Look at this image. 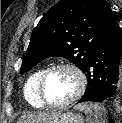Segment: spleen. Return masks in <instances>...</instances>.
I'll return each instance as SVG.
<instances>
[{
	"label": "spleen",
	"mask_w": 122,
	"mask_h": 123,
	"mask_svg": "<svg viewBox=\"0 0 122 123\" xmlns=\"http://www.w3.org/2000/svg\"><path fill=\"white\" fill-rule=\"evenodd\" d=\"M76 109L86 114L87 123H107V112L101 104L83 103L76 106Z\"/></svg>",
	"instance_id": "obj_1"
}]
</instances>
